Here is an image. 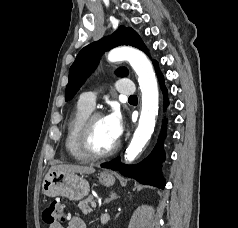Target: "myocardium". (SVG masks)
I'll list each match as a JSON object with an SVG mask.
<instances>
[{
	"label": "myocardium",
	"instance_id": "myocardium-1",
	"mask_svg": "<svg viewBox=\"0 0 238 228\" xmlns=\"http://www.w3.org/2000/svg\"><path fill=\"white\" fill-rule=\"evenodd\" d=\"M104 115L100 111L91 112L87 118L84 120L79 136V146L81 151L89 158V159H104L114 155L119 147L120 143L117 141L116 144L105 152H97L94 150L92 146V132L93 127L97 119L103 118Z\"/></svg>",
	"mask_w": 238,
	"mask_h": 228
}]
</instances>
